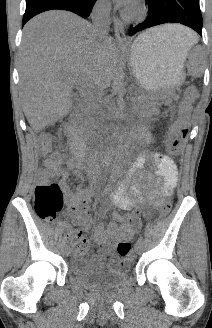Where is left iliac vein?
<instances>
[{
	"label": "left iliac vein",
	"mask_w": 212,
	"mask_h": 328,
	"mask_svg": "<svg viewBox=\"0 0 212 328\" xmlns=\"http://www.w3.org/2000/svg\"><path fill=\"white\" fill-rule=\"evenodd\" d=\"M134 249H135V252L136 253H141L142 251H143V243H141V242H137L136 244H135V247H134Z\"/></svg>",
	"instance_id": "left-iliac-vein-1"
}]
</instances>
